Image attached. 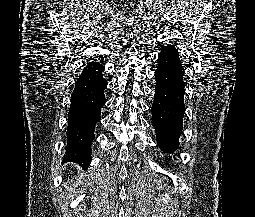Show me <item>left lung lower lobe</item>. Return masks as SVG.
I'll use <instances>...</instances> for the list:
<instances>
[{
    "instance_id": "0a47b994",
    "label": "left lung lower lobe",
    "mask_w": 255,
    "mask_h": 217,
    "mask_svg": "<svg viewBox=\"0 0 255 217\" xmlns=\"http://www.w3.org/2000/svg\"><path fill=\"white\" fill-rule=\"evenodd\" d=\"M156 87L152 105V126L157 143L165 153L174 152L182 134L184 105V68L178 50L165 46L158 55Z\"/></svg>"
}]
</instances>
